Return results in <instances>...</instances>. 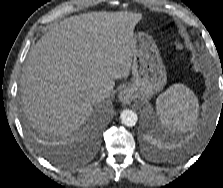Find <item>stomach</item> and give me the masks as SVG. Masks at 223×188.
Wrapping results in <instances>:
<instances>
[{
  "label": "stomach",
  "instance_id": "0dacf381",
  "mask_svg": "<svg viewBox=\"0 0 223 188\" xmlns=\"http://www.w3.org/2000/svg\"><path fill=\"white\" fill-rule=\"evenodd\" d=\"M132 81L130 90L135 98H149L161 91L167 81L166 70L154 40L143 32L133 37Z\"/></svg>",
  "mask_w": 223,
  "mask_h": 188
}]
</instances>
